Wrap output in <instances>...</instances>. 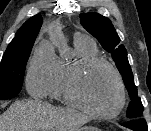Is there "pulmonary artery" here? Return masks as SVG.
<instances>
[{"mask_svg":"<svg viewBox=\"0 0 151 131\" xmlns=\"http://www.w3.org/2000/svg\"><path fill=\"white\" fill-rule=\"evenodd\" d=\"M75 38H85V36L82 35V34H80V33H77V34L75 35Z\"/></svg>","mask_w":151,"mask_h":131,"instance_id":"obj_1","label":"pulmonary artery"}]
</instances>
